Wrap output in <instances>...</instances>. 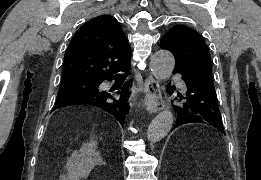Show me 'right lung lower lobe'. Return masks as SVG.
Instances as JSON below:
<instances>
[{"mask_svg":"<svg viewBox=\"0 0 261 180\" xmlns=\"http://www.w3.org/2000/svg\"><path fill=\"white\" fill-rule=\"evenodd\" d=\"M127 74H130L129 67L124 70ZM114 76L108 78L107 80H112ZM102 83V82H101ZM131 81L128 84H125L121 92H118L119 97L115 98L108 92H100L99 90L94 94H76L64 98L61 101L56 102V105L53 108V111L67 105L71 104H90L94 106H99L100 108L111 113L123 126L125 117L128 112V94Z\"/></svg>","mask_w":261,"mask_h":180,"instance_id":"obj_1","label":"right lung lower lobe"}]
</instances>
